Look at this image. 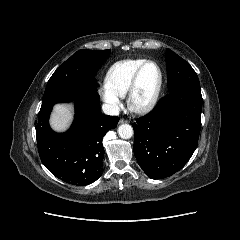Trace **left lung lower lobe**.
I'll list each match as a JSON object with an SVG mask.
<instances>
[{"label": "left lung lower lobe", "instance_id": "left-lung-lower-lobe-1", "mask_svg": "<svg viewBox=\"0 0 240 240\" xmlns=\"http://www.w3.org/2000/svg\"><path fill=\"white\" fill-rule=\"evenodd\" d=\"M200 88L176 89L133 124L134 154L151 179H162L179 171L191 158L201 128Z\"/></svg>", "mask_w": 240, "mask_h": 240}]
</instances>
